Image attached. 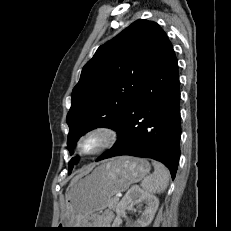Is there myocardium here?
I'll return each mask as SVG.
<instances>
[{
    "instance_id": "myocardium-1",
    "label": "myocardium",
    "mask_w": 231,
    "mask_h": 231,
    "mask_svg": "<svg viewBox=\"0 0 231 231\" xmlns=\"http://www.w3.org/2000/svg\"><path fill=\"white\" fill-rule=\"evenodd\" d=\"M90 136H100L103 139V143L94 151L84 152L81 149L82 141ZM118 140V132L110 126L107 125H96L86 131H84L76 141L77 152L84 157H94L100 155L107 150L111 149Z\"/></svg>"
}]
</instances>
